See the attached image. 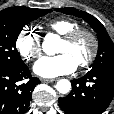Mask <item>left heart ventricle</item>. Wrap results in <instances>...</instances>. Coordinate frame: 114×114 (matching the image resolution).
I'll return each mask as SVG.
<instances>
[{
	"mask_svg": "<svg viewBox=\"0 0 114 114\" xmlns=\"http://www.w3.org/2000/svg\"><path fill=\"white\" fill-rule=\"evenodd\" d=\"M91 50V43L90 40L83 36L79 38L75 43L73 44H68L65 41H61L59 48H58V53H68L71 55V57L75 60L77 65L85 60Z\"/></svg>",
	"mask_w": 114,
	"mask_h": 114,
	"instance_id": "b2bd125f",
	"label": "left heart ventricle"
}]
</instances>
